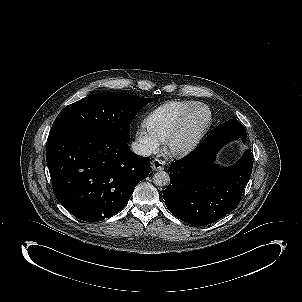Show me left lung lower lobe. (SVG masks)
<instances>
[{"instance_id":"0a47b994","label":"left lung lower lobe","mask_w":302,"mask_h":302,"mask_svg":"<svg viewBox=\"0 0 302 302\" xmlns=\"http://www.w3.org/2000/svg\"><path fill=\"white\" fill-rule=\"evenodd\" d=\"M209 136L188 156L170 166V184L163 191L169 211L198 226L213 223L236 207L253 166L250 150L233 166L223 168L214 164L222 146Z\"/></svg>"}]
</instances>
